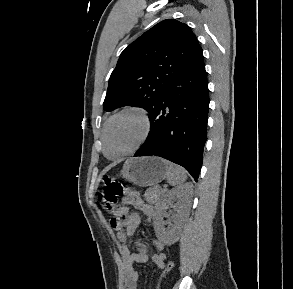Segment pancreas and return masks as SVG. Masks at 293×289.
Here are the masks:
<instances>
[{"instance_id":"1","label":"pancreas","mask_w":293,"mask_h":289,"mask_svg":"<svg viewBox=\"0 0 293 289\" xmlns=\"http://www.w3.org/2000/svg\"><path fill=\"white\" fill-rule=\"evenodd\" d=\"M164 192L165 190H160L156 187L148 188L144 194V198L148 203L155 204L159 201Z\"/></svg>"}]
</instances>
